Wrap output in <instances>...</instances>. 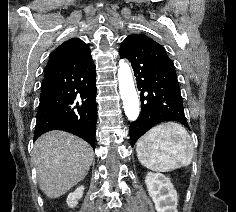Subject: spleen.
<instances>
[{
	"label": "spleen",
	"mask_w": 236,
	"mask_h": 212,
	"mask_svg": "<svg viewBox=\"0 0 236 212\" xmlns=\"http://www.w3.org/2000/svg\"><path fill=\"white\" fill-rule=\"evenodd\" d=\"M137 157L147 169L168 172L187 166L194 155L191 137L175 122L156 125L137 142Z\"/></svg>",
	"instance_id": "obj_1"
}]
</instances>
